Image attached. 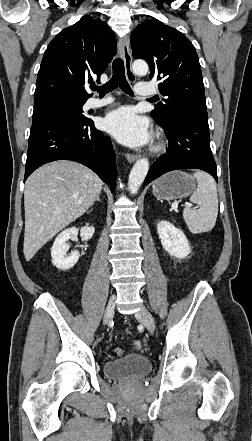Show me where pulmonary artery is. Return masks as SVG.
I'll return each instance as SVG.
<instances>
[{
	"label": "pulmonary artery",
	"instance_id": "1",
	"mask_svg": "<svg viewBox=\"0 0 252 441\" xmlns=\"http://www.w3.org/2000/svg\"><path fill=\"white\" fill-rule=\"evenodd\" d=\"M135 93L139 97H150V96L155 95L157 93V90L148 83H145V84L140 83L135 86ZM112 100L113 99L109 96L104 97L102 99L90 98L86 103V108H88V109L98 108V107H101V106H104V105L111 103Z\"/></svg>",
	"mask_w": 252,
	"mask_h": 441
}]
</instances>
